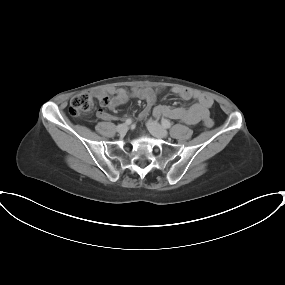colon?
I'll return each instance as SVG.
<instances>
[{
    "mask_svg": "<svg viewBox=\"0 0 285 285\" xmlns=\"http://www.w3.org/2000/svg\"><path fill=\"white\" fill-rule=\"evenodd\" d=\"M96 98L97 97L92 92L89 91L76 95L75 97L72 98L70 102V107H69L70 114L74 117H80L90 113L95 106ZM99 101L104 105L108 104L109 97L106 95L101 99H99ZM204 125L206 127H213L214 126L213 119L206 118L204 120Z\"/></svg>",
    "mask_w": 285,
    "mask_h": 285,
    "instance_id": "1",
    "label": "colon"
}]
</instances>
